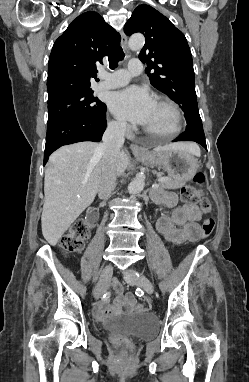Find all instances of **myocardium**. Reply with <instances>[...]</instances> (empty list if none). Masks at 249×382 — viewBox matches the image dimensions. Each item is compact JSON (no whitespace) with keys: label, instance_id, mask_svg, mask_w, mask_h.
I'll return each mask as SVG.
<instances>
[{"label":"myocardium","instance_id":"1","mask_svg":"<svg viewBox=\"0 0 249 382\" xmlns=\"http://www.w3.org/2000/svg\"><path fill=\"white\" fill-rule=\"evenodd\" d=\"M156 102L166 106L172 112L173 119H174L173 128L170 132L164 133V134H156V133H153V132L147 130L146 128H143V131L147 135L154 137V138H157V139H160V140L172 139L179 134V132L181 131V128H182L181 111H180L179 107L172 100H170L168 98L160 97L157 99Z\"/></svg>","mask_w":249,"mask_h":382}]
</instances>
